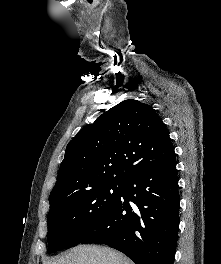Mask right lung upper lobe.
Segmentation results:
<instances>
[{
	"label": "right lung upper lobe",
	"instance_id": "obj_1",
	"mask_svg": "<svg viewBox=\"0 0 221 264\" xmlns=\"http://www.w3.org/2000/svg\"><path fill=\"white\" fill-rule=\"evenodd\" d=\"M174 154L169 132L155 110L137 100H125L69 142L50 193V210L72 194L124 182Z\"/></svg>",
	"mask_w": 221,
	"mask_h": 264
}]
</instances>
